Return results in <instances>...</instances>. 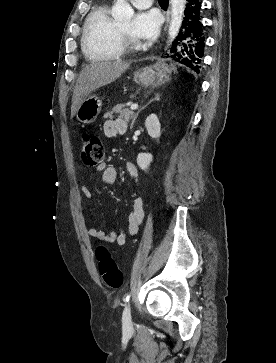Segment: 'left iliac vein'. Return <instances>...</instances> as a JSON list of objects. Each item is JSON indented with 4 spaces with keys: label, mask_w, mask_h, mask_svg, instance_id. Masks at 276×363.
Returning a JSON list of instances; mask_svg holds the SVG:
<instances>
[{
    "label": "left iliac vein",
    "mask_w": 276,
    "mask_h": 363,
    "mask_svg": "<svg viewBox=\"0 0 276 363\" xmlns=\"http://www.w3.org/2000/svg\"><path fill=\"white\" fill-rule=\"evenodd\" d=\"M131 321V313H130V304L125 305V309L123 312V323L128 324Z\"/></svg>",
    "instance_id": "1"
}]
</instances>
